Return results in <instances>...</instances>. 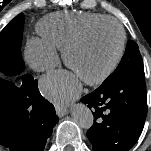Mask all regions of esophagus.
<instances>
[{"label": "esophagus", "instance_id": "esophagus-1", "mask_svg": "<svg viewBox=\"0 0 151 151\" xmlns=\"http://www.w3.org/2000/svg\"><path fill=\"white\" fill-rule=\"evenodd\" d=\"M56 113L59 117H63L68 113V109L63 106H55Z\"/></svg>", "mask_w": 151, "mask_h": 151}]
</instances>
